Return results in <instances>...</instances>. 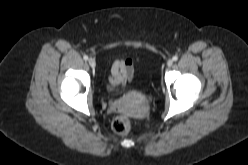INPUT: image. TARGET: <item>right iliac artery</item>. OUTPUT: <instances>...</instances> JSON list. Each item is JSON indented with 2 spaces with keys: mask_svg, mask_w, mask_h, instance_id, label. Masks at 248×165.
Masks as SVG:
<instances>
[{
  "mask_svg": "<svg viewBox=\"0 0 248 165\" xmlns=\"http://www.w3.org/2000/svg\"><path fill=\"white\" fill-rule=\"evenodd\" d=\"M83 59H84V60H88V56H87V55H84V56H83Z\"/></svg>",
  "mask_w": 248,
  "mask_h": 165,
  "instance_id": "right-iliac-artery-1",
  "label": "right iliac artery"
}]
</instances>
